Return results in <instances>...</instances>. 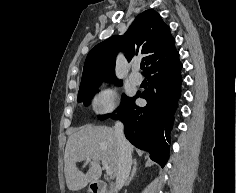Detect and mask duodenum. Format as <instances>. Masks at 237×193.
<instances>
[{
  "instance_id": "obj_1",
  "label": "duodenum",
  "mask_w": 237,
  "mask_h": 193,
  "mask_svg": "<svg viewBox=\"0 0 237 193\" xmlns=\"http://www.w3.org/2000/svg\"><path fill=\"white\" fill-rule=\"evenodd\" d=\"M108 186L104 181H95L91 185V193H108Z\"/></svg>"
}]
</instances>
